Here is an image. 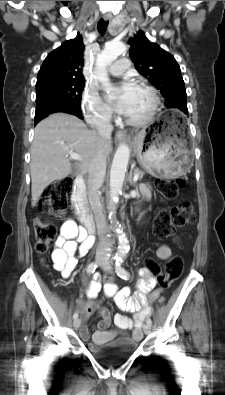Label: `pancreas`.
<instances>
[{
	"label": "pancreas",
	"mask_w": 225,
	"mask_h": 395,
	"mask_svg": "<svg viewBox=\"0 0 225 395\" xmlns=\"http://www.w3.org/2000/svg\"><path fill=\"white\" fill-rule=\"evenodd\" d=\"M134 174H138L139 175V179H142L143 176H144V171L140 170L139 168H135Z\"/></svg>",
	"instance_id": "1"
}]
</instances>
